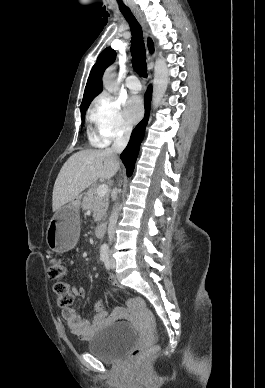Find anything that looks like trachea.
<instances>
[{"label": "trachea", "mask_w": 265, "mask_h": 388, "mask_svg": "<svg viewBox=\"0 0 265 388\" xmlns=\"http://www.w3.org/2000/svg\"><path fill=\"white\" fill-rule=\"evenodd\" d=\"M121 13L124 15L126 20L130 25V30L132 34L131 38V55H132V65L134 70L139 73L142 77L147 76V66H146V53L145 46L143 42V32L140 24L134 17L131 10H121Z\"/></svg>", "instance_id": "obj_1"}]
</instances>
